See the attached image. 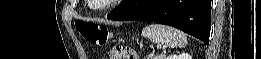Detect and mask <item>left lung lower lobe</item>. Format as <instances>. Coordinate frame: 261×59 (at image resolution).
Here are the masks:
<instances>
[{"mask_svg": "<svg viewBox=\"0 0 261 59\" xmlns=\"http://www.w3.org/2000/svg\"><path fill=\"white\" fill-rule=\"evenodd\" d=\"M107 18L173 26L208 45L211 0H125Z\"/></svg>", "mask_w": 261, "mask_h": 59, "instance_id": "0a47b994", "label": "left lung lower lobe"}]
</instances>
